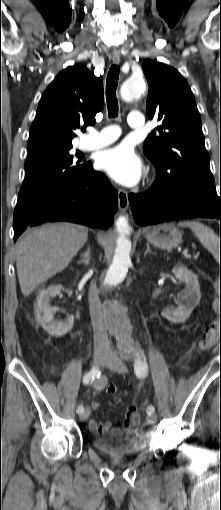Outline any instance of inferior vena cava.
Instances as JSON below:
<instances>
[{"instance_id": "1", "label": "inferior vena cava", "mask_w": 221, "mask_h": 510, "mask_svg": "<svg viewBox=\"0 0 221 510\" xmlns=\"http://www.w3.org/2000/svg\"><path fill=\"white\" fill-rule=\"evenodd\" d=\"M89 309L94 333L95 351H110V342L108 339L106 327L103 321L102 308L98 296L97 287L94 282L89 288Z\"/></svg>"}]
</instances>
